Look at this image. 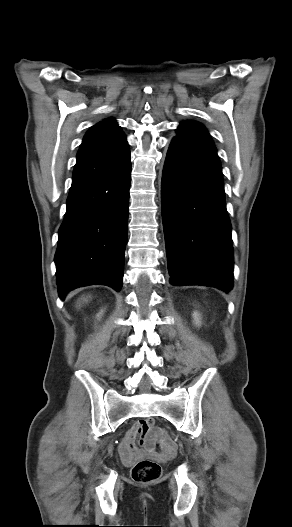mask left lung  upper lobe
I'll list each match as a JSON object with an SVG mask.
<instances>
[{
    "label": "left lung upper lobe",
    "mask_w": 292,
    "mask_h": 527,
    "mask_svg": "<svg viewBox=\"0 0 292 527\" xmlns=\"http://www.w3.org/2000/svg\"><path fill=\"white\" fill-rule=\"evenodd\" d=\"M178 136L173 141L186 142L195 146L216 151L215 145L206 128L194 121H184L176 130Z\"/></svg>",
    "instance_id": "1"
}]
</instances>
